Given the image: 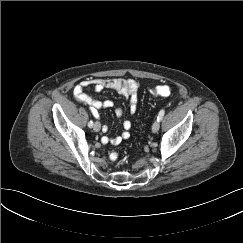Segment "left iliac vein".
Returning a JSON list of instances; mask_svg holds the SVG:
<instances>
[{
  "instance_id": "1",
  "label": "left iliac vein",
  "mask_w": 243,
  "mask_h": 243,
  "mask_svg": "<svg viewBox=\"0 0 243 243\" xmlns=\"http://www.w3.org/2000/svg\"><path fill=\"white\" fill-rule=\"evenodd\" d=\"M159 128H160V121L156 120L152 125V132L153 133L158 132Z\"/></svg>"
}]
</instances>
